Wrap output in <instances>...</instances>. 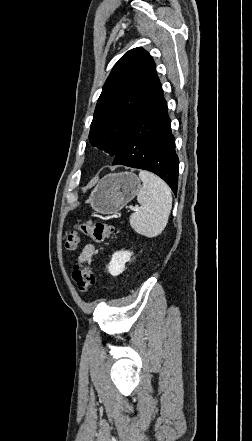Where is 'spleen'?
Listing matches in <instances>:
<instances>
[{
  "label": "spleen",
  "mask_w": 252,
  "mask_h": 441,
  "mask_svg": "<svg viewBox=\"0 0 252 441\" xmlns=\"http://www.w3.org/2000/svg\"><path fill=\"white\" fill-rule=\"evenodd\" d=\"M139 177L143 182L137 196L141 209L131 214L130 225L137 233L153 238L167 225L172 208L171 190L153 173L141 170Z\"/></svg>",
  "instance_id": "spleen-1"
}]
</instances>
